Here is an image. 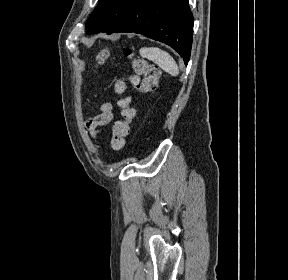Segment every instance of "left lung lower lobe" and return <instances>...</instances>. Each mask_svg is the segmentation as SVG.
<instances>
[{
	"label": "left lung lower lobe",
	"mask_w": 288,
	"mask_h": 280,
	"mask_svg": "<svg viewBox=\"0 0 288 280\" xmlns=\"http://www.w3.org/2000/svg\"><path fill=\"white\" fill-rule=\"evenodd\" d=\"M193 21L188 0H139L113 32L138 33L163 42L178 52L187 65Z\"/></svg>",
	"instance_id": "1"
}]
</instances>
